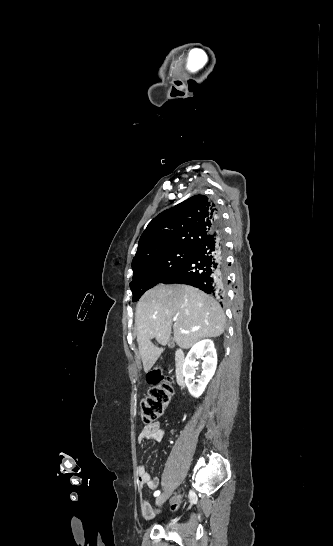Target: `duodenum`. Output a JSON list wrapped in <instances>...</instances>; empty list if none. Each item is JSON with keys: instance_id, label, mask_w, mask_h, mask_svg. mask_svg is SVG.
<instances>
[{"instance_id": "410a0bca", "label": "duodenum", "mask_w": 333, "mask_h": 546, "mask_svg": "<svg viewBox=\"0 0 333 546\" xmlns=\"http://www.w3.org/2000/svg\"><path fill=\"white\" fill-rule=\"evenodd\" d=\"M184 362H185V355L184 353L179 350L176 352V365H175V376L176 381L179 386L183 387L185 383L184 378Z\"/></svg>"}]
</instances>
